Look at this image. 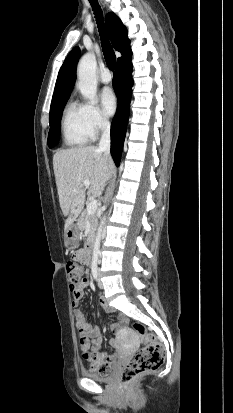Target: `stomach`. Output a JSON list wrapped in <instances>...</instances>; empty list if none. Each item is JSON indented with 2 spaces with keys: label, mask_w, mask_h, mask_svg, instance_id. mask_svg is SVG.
<instances>
[{
  "label": "stomach",
  "mask_w": 233,
  "mask_h": 413,
  "mask_svg": "<svg viewBox=\"0 0 233 413\" xmlns=\"http://www.w3.org/2000/svg\"><path fill=\"white\" fill-rule=\"evenodd\" d=\"M80 229L77 224H72L64 235L65 246L69 249L76 247L79 240Z\"/></svg>",
  "instance_id": "obj_1"
}]
</instances>
